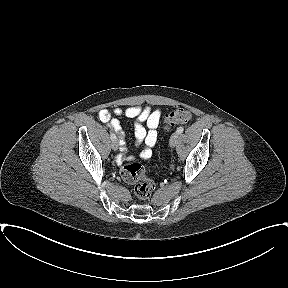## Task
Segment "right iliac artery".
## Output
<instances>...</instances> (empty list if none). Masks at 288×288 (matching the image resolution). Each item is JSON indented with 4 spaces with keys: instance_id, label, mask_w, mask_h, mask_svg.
<instances>
[{
    "instance_id": "82829eb1",
    "label": "right iliac artery",
    "mask_w": 288,
    "mask_h": 288,
    "mask_svg": "<svg viewBox=\"0 0 288 288\" xmlns=\"http://www.w3.org/2000/svg\"><path fill=\"white\" fill-rule=\"evenodd\" d=\"M110 138H111V140H114V139H116V136H115V134H114V133H111V134H110Z\"/></svg>"
}]
</instances>
